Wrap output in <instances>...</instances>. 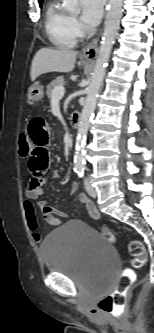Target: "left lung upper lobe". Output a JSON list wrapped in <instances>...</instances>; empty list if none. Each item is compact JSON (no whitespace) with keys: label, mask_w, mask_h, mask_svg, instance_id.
I'll list each match as a JSON object with an SVG mask.
<instances>
[{"label":"left lung upper lobe","mask_w":154,"mask_h":333,"mask_svg":"<svg viewBox=\"0 0 154 333\" xmlns=\"http://www.w3.org/2000/svg\"><path fill=\"white\" fill-rule=\"evenodd\" d=\"M39 1V4H40V7L42 6V3H43V0H38Z\"/></svg>","instance_id":"left-lung-upper-lobe-1"}]
</instances>
